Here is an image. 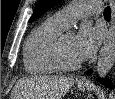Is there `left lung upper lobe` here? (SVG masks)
<instances>
[{
	"instance_id": "left-lung-upper-lobe-1",
	"label": "left lung upper lobe",
	"mask_w": 115,
	"mask_h": 99,
	"mask_svg": "<svg viewBox=\"0 0 115 99\" xmlns=\"http://www.w3.org/2000/svg\"><path fill=\"white\" fill-rule=\"evenodd\" d=\"M60 1L61 0H39L29 22L36 20L38 17L44 14L48 9L57 5Z\"/></svg>"
}]
</instances>
